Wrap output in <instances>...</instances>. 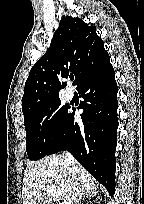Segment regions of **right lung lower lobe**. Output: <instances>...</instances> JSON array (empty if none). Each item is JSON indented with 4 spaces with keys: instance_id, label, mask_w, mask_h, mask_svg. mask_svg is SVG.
I'll return each mask as SVG.
<instances>
[{
    "instance_id": "obj_1",
    "label": "right lung lower lobe",
    "mask_w": 144,
    "mask_h": 204,
    "mask_svg": "<svg viewBox=\"0 0 144 204\" xmlns=\"http://www.w3.org/2000/svg\"><path fill=\"white\" fill-rule=\"evenodd\" d=\"M84 99L79 108L83 124L69 114L48 155L69 151L113 196L117 144V84L110 59L88 74L77 87Z\"/></svg>"
}]
</instances>
